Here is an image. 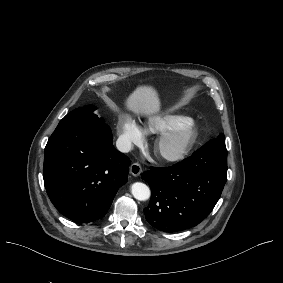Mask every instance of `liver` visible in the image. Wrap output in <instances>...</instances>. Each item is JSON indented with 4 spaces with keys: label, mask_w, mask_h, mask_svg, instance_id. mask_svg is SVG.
Segmentation results:
<instances>
[{
    "label": "liver",
    "mask_w": 283,
    "mask_h": 283,
    "mask_svg": "<svg viewBox=\"0 0 283 283\" xmlns=\"http://www.w3.org/2000/svg\"><path fill=\"white\" fill-rule=\"evenodd\" d=\"M122 105L126 112L143 118L159 116L163 109L161 92L149 83H138L123 99Z\"/></svg>",
    "instance_id": "1"
}]
</instances>
